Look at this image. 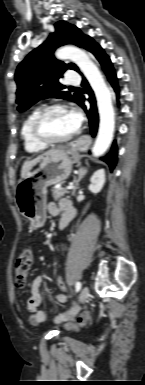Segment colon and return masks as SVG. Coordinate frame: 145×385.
I'll use <instances>...</instances> for the list:
<instances>
[{
	"mask_svg": "<svg viewBox=\"0 0 145 385\" xmlns=\"http://www.w3.org/2000/svg\"><path fill=\"white\" fill-rule=\"evenodd\" d=\"M33 261V253L30 249L23 250L15 261V282L19 287H23Z\"/></svg>",
	"mask_w": 145,
	"mask_h": 385,
	"instance_id": "5ec220e1",
	"label": "colon"
}]
</instances>
